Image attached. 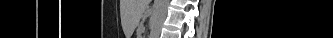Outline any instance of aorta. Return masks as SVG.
Returning <instances> with one entry per match:
<instances>
[{
	"label": "aorta",
	"mask_w": 333,
	"mask_h": 38,
	"mask_svg": "<svg viewBox=\"0 0 333 38\" xmlns=\"http://www.w3.org/2000/svg\"><path fill=\"white\" fill-rule=\"evenodd\" d=\"M169 0L154 1V16L150 31V38H159L163 23L167 15Z\"/></svg>",
	"instance_id": "1"
}]
</instances>
